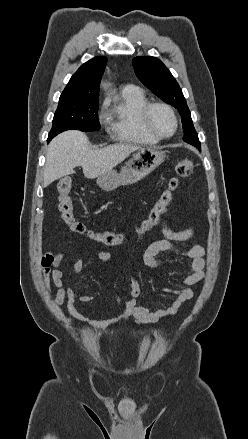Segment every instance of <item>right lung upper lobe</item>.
Here are the masks:
<instances>
[{
	"label": "right lung upper lobe",
	"mask_w": 248,
	"mask_h": 439,
	"mask_svg": "<svg viewBox=\"0 0 248 439\" xmlns=\"http://www.w3.org/2000/svg\"><path fill=\"white\" fill-rule=\"evenodd\" d=\"M106 65V58L95 57L84 63L71 77L60 99L93 100L99 97V83Z\"/></svg>",
	"instance_id": "right-lung-upper-lobe-1"
}]
</instances>
